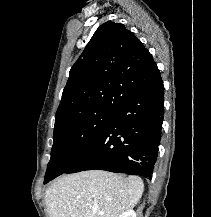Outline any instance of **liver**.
<instances>
[{"label": "liver", "instance_id": "liver-1", "mask_svg": "<svg viewBox=\"0 0 211 217\" xmlns=\"http://www.w3.org/2000/svg\"><path fill=\"white\" fill-rule=\"evenodd\" d=\"M144 184L102 170L64 175L45 192L49 217H119L139 202Z\"/></svg>", "mask_w": 211, "mask_h": 217}]
</instances>
